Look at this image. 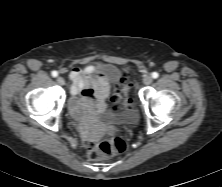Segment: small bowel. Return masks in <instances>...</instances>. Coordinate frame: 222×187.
I'll return each mask as SVG.
<instances>
[{
    "label": "small bowel",
    "instance_id": "obj_1",
    "mask_svg": "<svg viewBox=\"0 0 222 187\" xmlns=\"http://www.w3.org/2000/svg\"><path fill=\"white\" fill-rule=\"evenodd\" d=\"M94 73L93 66H87L84 69L74 68L70 72L71 93L75 96L74 105L92 109H102L105 106L110 88L104 81L96 79Z\"/></svg>",
    "mask_w": 222,
    "mask_h": 187
}]
</instances>
